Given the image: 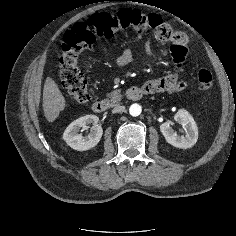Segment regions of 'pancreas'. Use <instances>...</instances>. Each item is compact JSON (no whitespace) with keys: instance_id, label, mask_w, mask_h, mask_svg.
Instances as JSON below:
<instances>
[{"instance_id":"pancreas-1","label":"pancreas","mask_w":236,"mask_h":236,"mask_svg":"<svg viewBox=\"0 0 236 236\" xmlns=\"http://www.w3.org/2000/svg\"><path fill=\"white\" fill-rule=\"evenodd\" d=\"M120 94V90H114L111 93L107 94V97L110 98L111 100L116 99Z\"/></svg>"}]
</instances>
